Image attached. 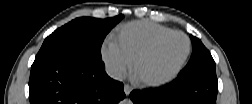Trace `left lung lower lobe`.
<instances>
[{"mask_svg": "<svg viewBox=\"0 0 252 104\" xmlns=\"http://www.w3.org/2000/svg\"><path fill=\"white\" fill-rule=\"evenodd\" d=\"M217 92L216 72L211 70L179 75L155 90H134L130 98L142 104H215Z\"/></svg>", "mask_w": 252, "mask_h": 104, "instance_id": "1", "label": "left lung lower lobe"}]
</instances>
